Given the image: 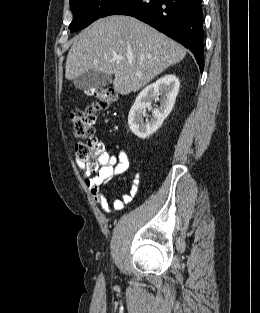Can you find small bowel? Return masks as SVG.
Returning <instances> with one entry per match:
<instances>
[{"instance_id": "c3829d8e", "label": "small bowel", "mask_w": 260, "mask_h": 313, "mask_svg": "<svg viewBox=\"0 0 260 313\" xmlns=\"http://www.w3.org/2000/svg\"><path fill=\"white\" fill-rule=\"evenodd\" d=\"M104 166L95 174L91 175L84 163L77 161L76 165L80 172L84 174V185L89 189L90 194L101 210L110 214L112 212L109 201L102 191V185L110 181L114 176L125 173L129 168V160L124 150L120 149L110 158L108 154L102 157ZM140 184V173H136L132 180V186L128 193L121 198H114L112 201L116 211H122L135 196Z\"/></svg>"}]
</instances>
